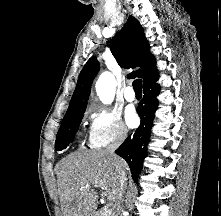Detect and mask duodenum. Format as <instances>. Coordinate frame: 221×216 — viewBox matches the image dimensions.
Masks as SVG:
<instances>
[{
  "label": "duodenum",
  "instance_id": "duodenum-1",
  "mask_svg": "<svg viewBox=\"0 0 221 216\" xmlns=\"http://www.w3.org/2000/svg\"><path fill=\"white\" fill-rule=\"evenodd\" d=\"M92 216H100L99 211H95Z\"/></svg>",
  "mask_w": 221,
  "mask_h": 216
}]
</instances>
